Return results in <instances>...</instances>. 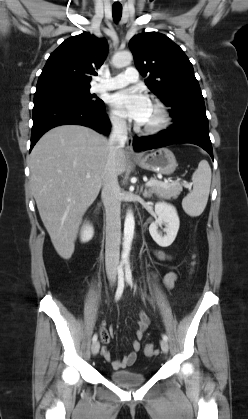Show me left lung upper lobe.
Instances as JSON below:
<instances>
[{
    "mask_svg": "<svg viewBox=\"0 0 248 419\" xmlns=\"http://www.w3.org/2000/svg\"><path fill=\"white\" fill-rule=\"evenodd\" d=\"M137 69L149 76L146 85L172 108L171 117L192 108H204V98L184 51L166 35L142 33L129 42Z\"/></svg>",
    "mask_w": 248,
    "mask_h": 419,
    "instance_id": "1",
    "label": "left lung upper lobe"
}]
</instances>
